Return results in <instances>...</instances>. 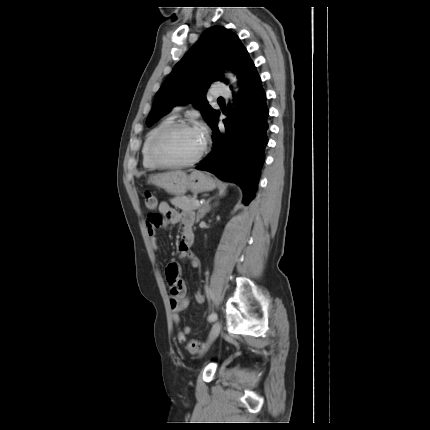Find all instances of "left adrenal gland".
Listing matches in <instances>:
<instances>
[{"label": "left adrenal gland", "mask_w": 430, "mask_h": 430, "mask_svg": "<svg viewBox=\"0 0 430 430\" xmlns=\"http://www.w3.org/2000/svg\"><path fill=\"white\" fill-rule=\"evenodd\" d=\"M211 199H208L202 206V208L199 210V213L197 214V221L202 219L206 213H208L211 210V206L209 205V202Z\"/></svg>", "instance_id": "left-adrenal-gland-1"}]
</instances>
